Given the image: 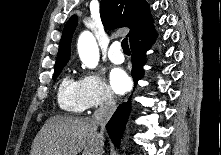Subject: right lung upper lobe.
<instances>
[{"label":"right lung upper lobe","mask_w":221,"mask_h":155,"mask_svg":"<svg viewBox=\"0 0 221 155\" xmlns=\"http://www.w3.org/2000/svg\"><path fill=\"white\" fill-rule=\"evenodd\" d=\"M100 15L107 29L128 27L130 43L136 36L152 26L149 6L145 0H101ZM77 25L72 16L64 27L55 68L65 65L70 58V45Z\"/></svg>","instance_id":"1"}]
</instances>
